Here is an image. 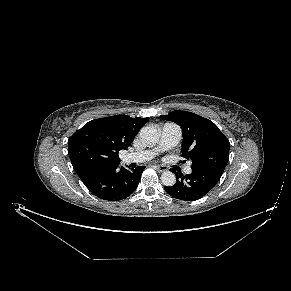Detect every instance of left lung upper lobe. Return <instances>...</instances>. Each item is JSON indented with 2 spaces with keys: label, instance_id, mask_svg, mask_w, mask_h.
Here are the masks:
<instances>
[{
  "label": "left lung upper lobe",
  "instance_id": "obj_1",
  "mask_svg": "<svg viewBox=\"0 0 291 291\" xmlns=\"http://www.w3.org/2000/svg\"><path fill=\"white\" fill-rule=\"evenodd\" d=\"M181 126L182 156L192 161V169L224 171L229 159V140L210 120L187 111L161 115Z\"/></svg>",
  "mask_w": 291,
  "mask_h": 291
}]
</instances>
